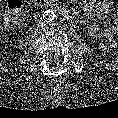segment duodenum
Masks as SVG:
<instances>
[{"label": "duodenum", "mask_w": 118, "mask_h": 118, "mask_svg": "<svg viewBox=\"0 0 118 118\" xmlns=\"http://www.w3.org/2000/svg\"><path fill=\"white\" fill-rule=\"evenodd\" d=\"M53 7L57 9L67 19L72 18V13L67 7L60 5H55Z\"/></svg>", "instance_id": "1"}]
</instances>
